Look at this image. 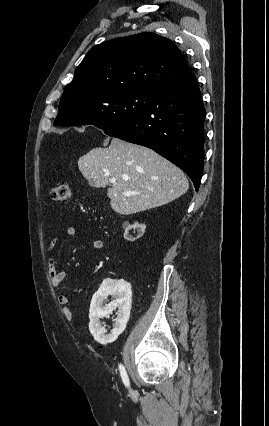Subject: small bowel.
<instances>
[{
    "mask_svg": "<svg viewBox=\"0 0 269 426\" xmlns=\"http://www.w3.org/2000/svg\"><path fill=\"white\" fill-rule=\"evenodd\" d=\"M67 234L70 237H74L77 234L76 228L73 226L68 227ZM56 244L57 239H53L48 246V250H52ZM91 247L94 250H101L103 248V242L100 239H93L91 241ZM48 275L53 287L59 291L61 283L67 276V272L65 270H59L55 259L52 257L48 261ZM57 302L61 306L63 314L66 317H70L71 310L69 309V298L65 294L58 292Z\"/></svg>",
    "mask_w": 269,
    "mask_h": 426,
    "instance_id": "1",
    "label": "small bowel"
}]
</instances>
